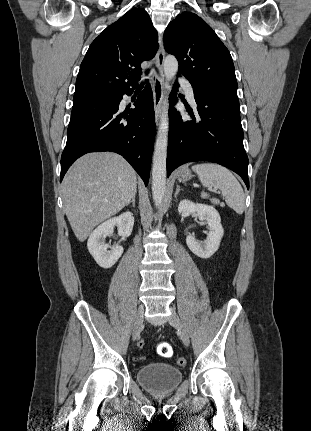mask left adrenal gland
<instances>
[{
    "mask_svg": "<svg viewBox=\"0 0 311 431\" xmlns=\"http://www.w3.org/2000/svg\"><path fill=\"white\" fill-rule=\"evenodd\" d=\"M179 192H180V186H177V188H176V192H175V194H174L175 198H177V196H178Z\"/></svg>",
    "mask_w": 311,
    "mask_h": 431,
    "instance_id": "a2214340",
    "label": "left adrenal gland"
}]
</instances>
